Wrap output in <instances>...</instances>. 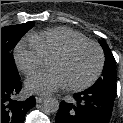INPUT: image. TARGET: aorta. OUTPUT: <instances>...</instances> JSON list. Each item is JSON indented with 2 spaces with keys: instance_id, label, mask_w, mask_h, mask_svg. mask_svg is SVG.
Instances as JSON below:
<instances>
[{
  "instance_id": "obj_1",
  "label": "aorta",
  "mask_w": 123,
  "mask_h": 123,
  "mask_svg": "<svg viewBox=\"0 0 123 123\" xmlns=\"http://www.w3.org/2000/svg\"><path fill=\"white\" fill-rule=\"evenodd\" d=\"M44 110L47 113H56L59 110V101L53 97L46 98L44 100Z\"/></svg>"
}]
</instances>
